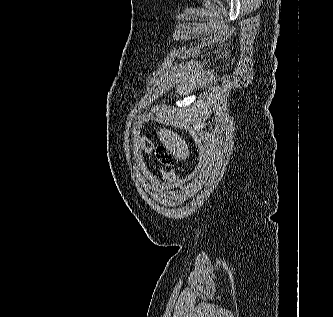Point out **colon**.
I'll use <instances>...</instances> for the list:
<instances>
[{
    "label": "colon",
    "instance_id": "5ec220e1",
    "mask_svg": "<svg viewBox=\"0 0 333 317\" xmlns=\"http://www.w3.org/2000/svg\"><path fill=\"white\" fill-rule=\"evenodd\" d=\"M156 156L157 159L165 165H174L176 162L174 156L163 146L157 147Z\"/></svg>",
    "mask_w": 333,
    "mask_h": 317
}]
</instances>
